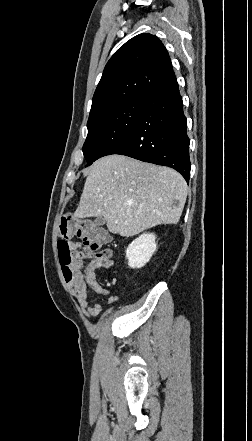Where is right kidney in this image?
I'll return each mask as SVG.
<instances>
[{
    "label": "right kidney",
    "mask_w": 252,
    "mask_h": 441,
    "mask_svg": "<svg viewBox=\"0 0 252 441\" xmlns=\"http://www.w3.org/2000/svg\"><path fill=\"white\" fill-rule=\"evenodd\" d=\"M156 236L144 233L132 241L126 249V258L130 268H142L156 250Z\"/></svg>",
    "instance_id": "1"
}]
</instances>
